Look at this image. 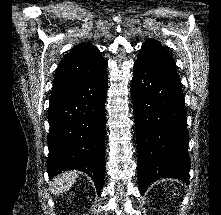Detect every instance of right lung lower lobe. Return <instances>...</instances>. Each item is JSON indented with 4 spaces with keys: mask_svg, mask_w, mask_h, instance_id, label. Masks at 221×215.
Masks as SVG:
<instances>
[{
    "mask_svg": "<svg viewBox=\"0 0 221 215\" xmlns=\"http://www.w3.org/2000/svg\"><path fill=\"white\" fill-rule=\"evenodd\" d=\"M107 70L68 90L52 94L48 121L47 172L78 169L93 178L99 194L104 181Z\"/></svg>",
    "mask_w": 221,
    "mask_h": 215,
    "instance_id": "1",
    "label": "right lung lower lobe"
}]
</instances>
